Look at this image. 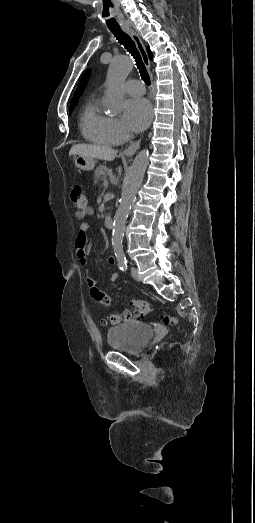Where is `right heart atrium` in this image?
<instances>
[{"label":"right heart atrium","mask_w":255,"mask_h":523,"mask_svg":"<svg viewBox=\"0 0 255 523\" xmlns=\"http://www.w3.org/2000/svg\"><path fill=\"white\" fill-rule=\"evenodd\" d=\"M114 125H115V128H116L118 134H120L122 136L129 135V132L121 119H119V118L114 119Z\"/></svg>","instance_id":"d8ad5b80"}]
</instances>
